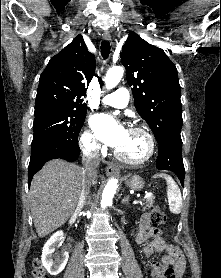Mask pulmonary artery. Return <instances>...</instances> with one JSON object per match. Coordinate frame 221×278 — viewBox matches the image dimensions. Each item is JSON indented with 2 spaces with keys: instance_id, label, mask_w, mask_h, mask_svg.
Returning <instances> with one entry per match:
<instances>
[{
  "instance_id": "e3ab8cb5",
  "label": "pulmonary artery",
  "mask_w": 221,
  "mask_h": 278,
  "mask_svg": "<svg viewBox=\"0 0 221 278\" xmlns=\"http://www.w3.org/2000/svg\"><path fill=\"white\" fill-rule=\"evenodd\" d=\"M102 103L115 108H124L129 102V92L125 88H119L114 93L102 98Z\"/></svg>"
}]
</instances>
